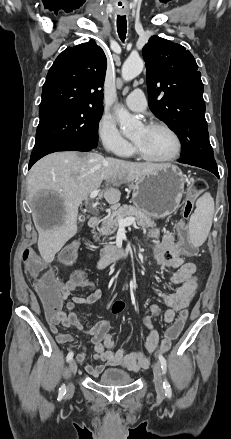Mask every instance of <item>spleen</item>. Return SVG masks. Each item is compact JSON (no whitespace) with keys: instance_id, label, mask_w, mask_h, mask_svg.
<instances>
[{"instance_id":"spleen-1","label":"spleen","mask_w":231,"mask_h":439,"mask_svg":"<svg viewBox=\"0 0 231 439\" xmlns=\"http://www.w3.org/2000/svg\"><path fill=\"white\" fill-rule=\"evenodd\" d=\"M214 214V200L206 192L196 202V209L189 222L190 240L194 246L202 245L211 229Z\"/></svg>"}]
</instances>
